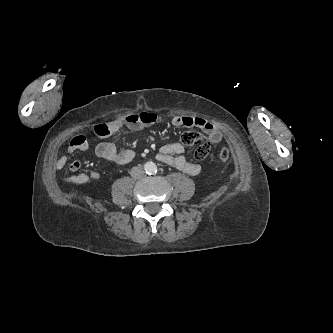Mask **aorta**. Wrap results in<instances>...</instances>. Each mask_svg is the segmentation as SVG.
<instances>
[{"label": "aorta", "mask_w": 333, "mask_h": 333, "mask_svg": "<svg viewBox=\"0 0 333 333\" xmlns=\"http://www.w3.org/2000/svg\"><path fill=\"white\" fill-rule=\"evenodd\" d=\"M144 170L147 174L155 173L157 171L156 164L152 161H148L144 164Z\"/></svg>", "instance_id": "aorta-1"}]
</instances>
